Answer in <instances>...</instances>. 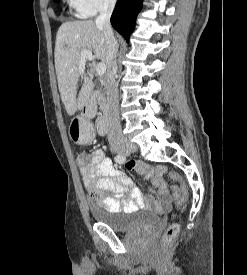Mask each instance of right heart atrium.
<instances>
[{
    "mask_svg": "<svg viewBox=\"0 0 247 275\" xmlns=\"http://www.w3.org/2000/svg\"><path fill=\"white\" fill-rule=\"evenodd\" d=\"M74 9L79 16L89 17L100 11L115 7L117 0H74Z\"/></svg>",
    "mask_w": 247,
    "mask_h": 275,
    "instance_id": "d8ad5b80",
    "label": "right heart atrium"
}]
</instances>
